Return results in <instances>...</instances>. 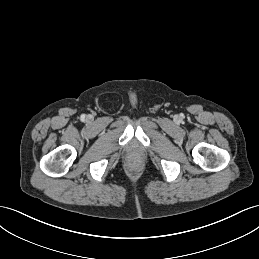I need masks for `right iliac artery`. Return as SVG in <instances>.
I'll use <instances>...</instances> for the list:
<instances>
[{
  "label": "right iliac artery",
  "instance_id": "1",
  "mask_svg": "<svg viewBox=\"0 0 259 259\" xmlns=\"http://www.w3.org/2000/svg\"><path fill=\"white\" fill-rule=\"evenodd\" d=\"M81 117H82V118H84V117H85V115H82Z\"/></svg>",
  "mask_w": 259,
  "mask_h": 259
}]
</instances>
